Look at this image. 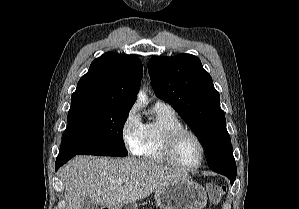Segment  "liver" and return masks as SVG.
<instances>
[{
	"instance_id": "obj_1",
	"label": "liver",
	"mask_w": 299,
	"mask_h": 209,
	"mask_svg": "<svg viewBox=\"0 0 299 209\" xmlns=\"http://www.w3.org/2000/svg\"><path fill=\"white\" fill-rule=\"evenodd\" d=\"M60 177L65 187L66 209H82L86 199L108 207L134 204L188 176L151 160L76 156L61 168ZM118 180L124 183L118 184Z\"/></svg>"
}]
</instances>
